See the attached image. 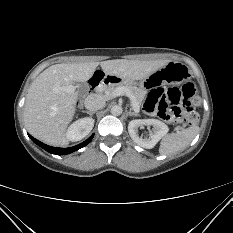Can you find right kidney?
I'll return each instance as SVG.
<instances>
[{"label":"right kidney","mask_w":233,"mask_h":233,"mask_svg":"<svg viewBox=\"0 0 233 233\" xmlns=\"http://www.w3.org/2000/svg\"><path fill=\"white\" fill-rule=\"evenodd\" d=\"M94 126V119L81 118L70 125L66 132V137L69 141L75 142L86 137Z\"/></svg>","instance_id":"1"}]
</instances>
